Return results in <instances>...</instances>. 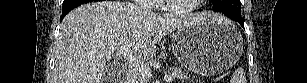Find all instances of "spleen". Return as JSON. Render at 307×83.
Returning <instances> with one entry per match:
<instances>
[{
    "mask_svg": "<svg viewBox=\"0 0 307 83\" xmlns=\"http://www.w3.org/2000/svg\"><path fill=\"white\" fill-rule=\"evenodd\" d=\"M231 83H246L245 71L243 68H237L232 75Z\"/></svg>",
    "mask_w": 307,
    "mask_h": 83,
    "instance_id": "obj_1",
    "label": "spleen"
}]
</instances>
